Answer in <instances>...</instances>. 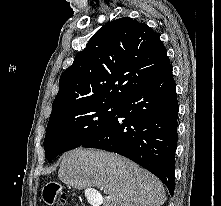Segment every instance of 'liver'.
<instances>
[{
    "label": "liver",
    "mask_w": 221,
    "mask_h": 206,
    "mask_svg": "<svg viewBox=\"0 0 221 206\" xmlns=\"http://www.w3.org/2000/svg\"><path fill=\"white\" fill-rule=\"evenodd\" d=\"M58 177L67 185L85 189L89 200L94 187L103 190V206H161L167 199L157 177L106 151L78 148L65 153Z\"/></svg>",
    "instance_id": "liver-1"
}]
</instances>
